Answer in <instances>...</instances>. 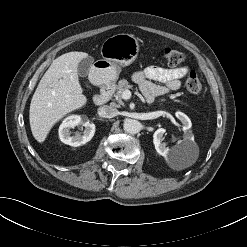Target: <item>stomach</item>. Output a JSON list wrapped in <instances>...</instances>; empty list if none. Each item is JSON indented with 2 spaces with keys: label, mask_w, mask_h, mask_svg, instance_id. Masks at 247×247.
Masks as SVG:
<instances>
[{
  "label": "stomach",
  "mask_w": 247,
  "mask_h": 247,
  "mask_svg": "<svg viewBox=\"0 0 247 247\" xmlns=\"http://www.w3.org/2000/svg\"><path fill=\"white\" fill-rule=\"evenodd\" d=\"M139 42L132 34H116L107 38L101 47L102 60L94 65V76L99 83L115 81L121 67L130 65L138 56Z\"/></svg>",
  "instance_id": "0dacf381"
}]
</instances>
